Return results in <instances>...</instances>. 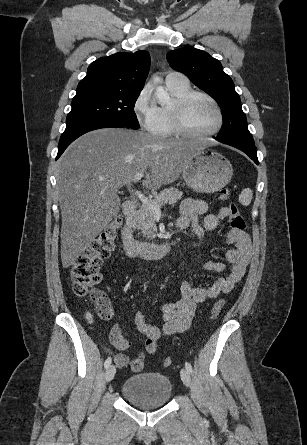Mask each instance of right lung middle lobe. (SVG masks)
Wrapping results in <instances>:
<instances>
[{
	"label": "right lung middle lobe",
	"mask_w": 307,
	"mask_h": 445,
	"mask_svg": "<svg viewBox=\"0 0 307 445\" xmlns=\"http://www.w3.org/2000/svg\"><path fill=\"white\" fill-rule=\"evenodd\" d=\"M139 95H76L66 119V127L85 122H111L138 129L134 105Z\"/></svg>",
	"instance_id": "1"
}]
</instances>
